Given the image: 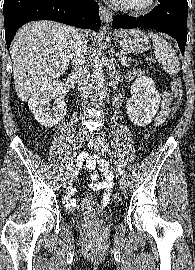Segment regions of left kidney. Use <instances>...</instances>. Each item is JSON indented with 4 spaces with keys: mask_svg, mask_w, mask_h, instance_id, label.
Returning <instances> with one entry per match:
<instances>
[{
    "mask_svg": "<svg viewBox=\"0 0 195 270\" xmlns=\"http://www.w3.org/2000/svg\"><path fill=\"white\" fill-rule=\"evenodd\" d=\"M131 94L126 104L130 120L137 126L148 125L160 105V94L153 79L148 76L138 77L131 86Z\"/></svg>",
    "mask_w": 195,
    "mask_h": 270,
    "instance_id": "obj_1",
    "label": "left kidney"
}]
</instances>
